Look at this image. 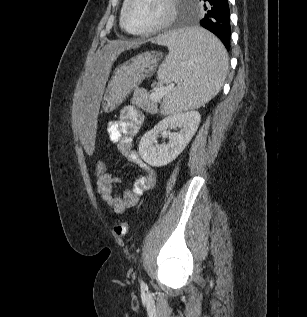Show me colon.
Wrapping results in <instances>:
<instances>
[{
    "instance_id": "5ec220e1",
    "label": "colon",
    "mask_w": 307,
    "mask_h": 317,
    "mask_svg": "<svg viewBox=\"0 0 307 317\" xmlns=\"http://www.w3.org/2000/svg\"><path fill=\"white\" fill-rule=\"evenodd\" d=\"M97 176H101L107 172V164L104 161H98L95 166ZM128 232V224L122 220L115 224L114 233L118 237H124Z\"/></svg>"
}]
</instances>
